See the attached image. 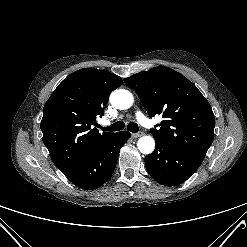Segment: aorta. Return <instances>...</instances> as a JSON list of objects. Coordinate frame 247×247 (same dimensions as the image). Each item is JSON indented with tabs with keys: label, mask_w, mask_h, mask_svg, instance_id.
Here are the masks:
<instances>
[{
	"label": "aorta",
	"mask_w": 247,
	"mask_h": 247,
	"mask_svg": "<svg viewBox=\"0 0 247 247\" xmlns=\"http://www.w3.org/2000/svg\"><path fill=\"white\" fill-rule=\"evenodd\" d=\"M110 103L117 109L125 110L132 106L133 95L125 89H117L110 95ZM137 147L143 154H150L154 151L155 141L151 136H143L138 140Z\"/></svg>",
	"instance_id": "1"
}]
</instances>
